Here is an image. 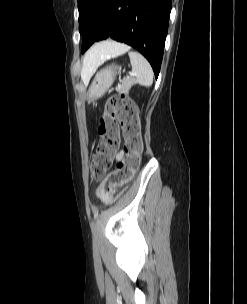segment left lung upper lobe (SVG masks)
Masks as SVG:
<instances>
[{"instance_id":"left-lung-upper-lobe-1","label":"left lung upper lobe","mask_w":247,"mask_h":304,"mask_svg":"<svg viewBox=\"0 0 247 304\" xmlns=\"http://www.w3.org/2000/svg\"><path fill=\"white\" fill-rule=\"evenodd\" d=\"M107 0H78L79 31H82L100 17Z\"/></svg>"}]
</instances>
